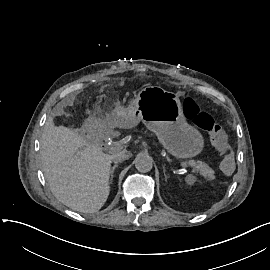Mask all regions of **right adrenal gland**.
Listing matches in <instances>:
<instances>
[{"instance_id": "1", "label": "right adrenal gland", "mask_w": 270, "mask_h": 270, "mask_svg": "<svg viewBox=\"0 0 270 270\" xmlns=\"http://www.w3.org/2000/svg\"><path fill=\"white\" fill-rule=\"evenodd\" d=\"M116 167H118L117 164H115V165L111 168V170H110V183H111L112 180H113V173H114V170H115Z\"/></svg>"}]
</instances>
